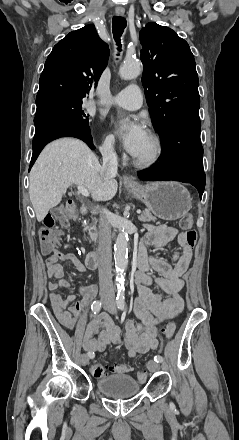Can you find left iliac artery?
Wrapping results in <instances>:
<instances>
[{"label": "left iliac artery", "mask_w": 239, "mask_h": 440, "mask_svg": "<svg viewBox=\"0 0 239 440\" xmlns=\"http://www.w3.org/2000/svg\"><path fill=\"white\" fill-rule=\"evenodd\" d=\"M117 307L120 310H124L126 307L125 304V295H124V287L119 288L117 298H116ZM154 361L159 363L163 361L162 356L156 355L154 357Z\"/></svg>", "instance_id": "44dca946"}]
</instances>
